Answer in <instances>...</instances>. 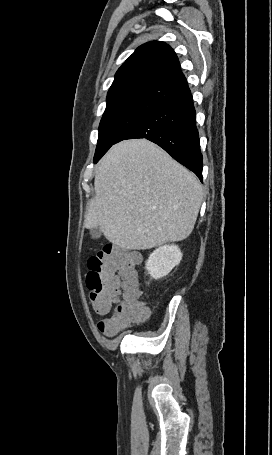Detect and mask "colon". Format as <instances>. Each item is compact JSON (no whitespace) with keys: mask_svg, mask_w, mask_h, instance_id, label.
<instances>
[{"mask_svg":"<svg viewBox=\"0 0 272 455\" xmlns=\"http://www.w3.org/2000/svg\"><path fill=\"white\" fill-rule=\"evenodd\" d=\"M138 262L137 255L114 244L104 245L87 260L89 299L97 314L109 315L98 323V329L108 336L147 315L137 280Z\"/></svg>","mask_w":272,"mask_h":455,"instance_id":"1","label":"colon"}]
</instances>
